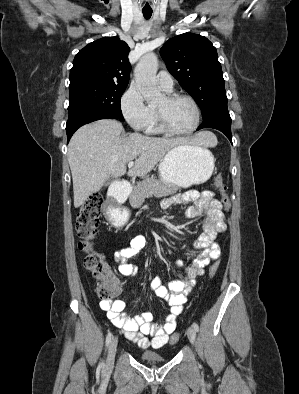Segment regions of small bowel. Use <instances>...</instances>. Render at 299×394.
Here are the masks:
<instances>
[{
  "mask_svg": "<svg viewBox=\"0 0 299 394\" xmlns=\"http://www.w3.org/2000/svg\"><path fill=\"white\" fill-rule=\"evenodd\" d=\"M181 204H191L185 210L187 218L203 216V232L192 244L193 248L200 252L190 265L184 266L182 260L176 261V266L183 268V273L178 279L168 282L159 276L152 279L151 289L169 306V313L163 322L155 323L151 312L133 317L128 315L124 311L126 304L122 300L102 301L100 304L111 323L122 329L125 336L142 349H159L168 343L170 335L176 329L178 316L183 311V304L195 287L197 278L204 275L205 266L216 261L221 254L217 239L219 235L225 233L227 226L222 204L215 198L214 193L190 190L164 200L162 206L168 208ZM146 243L147 239L144 235H136L127 246L115 251L114 259L118 263V271L121 275L130 276L136 273V267L131 260L137 257Z\"/></svg>",
  "mask_w": 299,
  "mask_h": 394,
  "instance_id": "c3829d8e",
  "label": "small bowel"
}]
</instances>
